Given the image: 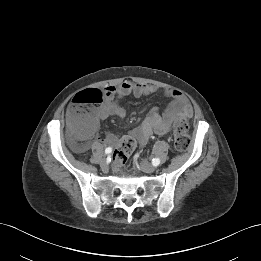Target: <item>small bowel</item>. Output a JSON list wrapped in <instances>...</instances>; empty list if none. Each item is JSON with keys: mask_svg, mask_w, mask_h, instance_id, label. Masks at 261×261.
Masks as SVG:
<instances>
[{"mask_svg": "<svg viewBox=\"0 0 261 261\" xmlns=\"http://www.w3.org/2000/svg\"><path fill=\"white\" fill-rule=\"evenodd\" d=\"M158 92L171 100L162 115L159 114L156 107H152L142 123L128 135L122 137L117 134H108L100 138V142L105 145L116 146L122 138L131 137L140 146H144L152 134L167 135L171 132L176 120L192 116V107L180 91L171 88L160 89L157 86L145 83L124 81L119 85H110L105 89L104 101L95 109L93 125L84 137H91L100 121L109 117L123 118L125 116V109L119 103L121 98L129 95L145 97ZM73 148L77 151H84L88 146L87 144H73Z\"/></svg>", "mask_w": 261, "mask_h": 261, "instance_id": "c3829d8e", "label": "small bowel"}]
</instances>
